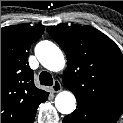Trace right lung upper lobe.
<instances>
[{"mask_svg": "<svg viewBox=\"0 0 123 123\" xmlns=\"http://www.w3.org/2000/svg\"><path fill=\"white\" fill-rule=\"evenodd\" d=\"M43 27L14 25L1 28V123H29L48 92L36 88L28 65L31 44Z\"/></svg>", "mask_w": 123, "mask_h": 123, "instance_id": "obj_1", "label": "right lung upper lobe"}]
</instances>
